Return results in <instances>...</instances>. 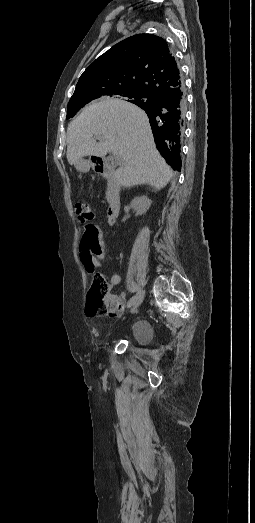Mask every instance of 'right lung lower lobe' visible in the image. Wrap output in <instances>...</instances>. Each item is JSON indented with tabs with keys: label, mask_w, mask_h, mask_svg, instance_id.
Listing matches in <instances>:
<instances>
[{
	"label": "right lung lower lobe",
	"mask_w": 255,
	"mask_h": 523,
	"mask_svg": "<svg viewBox=\"0 0 255 523\" xmlns=\"http://www.w3.org/2000/svg\"><path fill=\"white\" fill-rule=\"evenodd\" d=\"M182 106V99L179 96L166 98L159 101L152 111V118L159 122L157 124L158 140L163 144H170L175 137L178 128L177 111ZM181 170L180 169L178 171Z\"/></svg>",
	"instance_id": "98d812e1"
}]
</instances>
